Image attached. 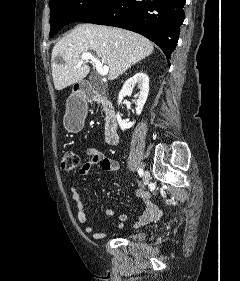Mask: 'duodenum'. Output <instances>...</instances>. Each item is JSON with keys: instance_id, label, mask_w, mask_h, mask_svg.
I'll return each instance as SVG.
<instances>
[{"instance_id": "duodenum-1", "label": "duodenum", "mask_w": 240, "mask_h": 281, "mask_svg": "<svg viewBox=\"0 0 240 281\" xmlns=\"http://www.w3.org/2000/svg\"><path fill=\"white\" fill-rule=\"evenodd\" d=\"M79 96L85 101H95L104 106L106 111L105 141L116 144L119 140L116 114L111 103L99 95L92 87L83 86L78 90Z\"/></svg>"}]
</instances>
